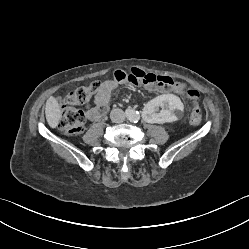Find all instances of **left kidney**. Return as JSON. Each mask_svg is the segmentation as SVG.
Listing matches in <instances>:
<instances>
[{
    "label": "left kidney",
    "instance_id": "obj_1",
    "mask_svg": "<svg viewBox=\"0 0 249 249\" xmlns=\"http://www.w3.org/2000/svg\"><path fill=\"white\" fill-rule=\"evenodd\" d=\"M166 95L157 97L143 107L142 116L146 124L158 125L176 121L180 118L182 104L179 98L175 95Z\"/></svg>",
    "mask_w": 249,
    "mask_h": 249
}]
</instances>
